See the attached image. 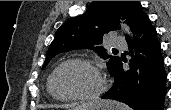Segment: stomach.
<instances>
[{
	"label": "stomach",
	"mask_w": 171,
	"mask_h": 110,
	"mask_svg": "<svg viewBox=\"0 0 171 110\" xmlns=\"http://www.w3.org/2000/svg\"><path fill=\"white\" fill-rule=\"evenodd\" d=\"M69 110H106V109L100 108L99 106H90L87 108H84L81 106H76V107H73ZM113 110H117V107L113 108Z\"/></svg>",
	"instance_id": "stomach-1"
}]
</instances>
